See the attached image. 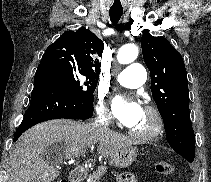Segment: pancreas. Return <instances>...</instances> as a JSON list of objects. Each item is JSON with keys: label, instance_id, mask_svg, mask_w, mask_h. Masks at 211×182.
Masks as SVG:
<instances>
[{"label": "pancreas", "instance_id": "cf45deb5", "mask_svg": "<svg viewBox=\"0 0 211 182\" xmlns=\"http://www.w3.org/2000/svg\"><path fill=\"white\" fill-rule=\"evenodd\" d=\"M107 166L101 165L96 171H93L88 177V182H99L101 177L107 172Z\"/></svg>", "mask_w": 211, "mask_h": 182}]
</instances>
